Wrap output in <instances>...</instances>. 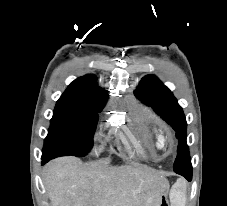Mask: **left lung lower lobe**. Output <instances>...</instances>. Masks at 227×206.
Here are the masks:
<instances>
[{
    "instance_id": "obj_1",
    "label": "left lung lower lobe",
    "mask_w": 227,
    "mask_h": 206,
    "mask_svg": "<svg viewBox=\"0 0 227 206\" xmlns=\"http://www.w3.org/2000/svg\"><path fill=\"white\" fill-rule=\"evenodd\" d=\"M175 172L184 176L188 181H191L192 179V170L183 169V170H176Z\"/></svg>"
}]
</instances>
